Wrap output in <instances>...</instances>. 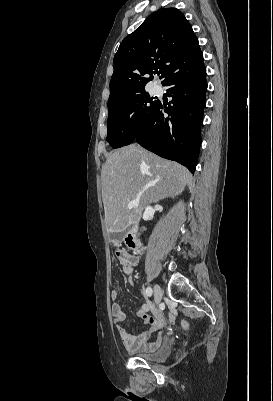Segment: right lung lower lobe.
I'll list each match as a JSON object with an SVG mask.
<instances>
[{
  "instance_id": "1",
  "label": "right lung lower lobe",
  "mask_w": 273,
  "mask_h": 401,
  "mask_svg": "<svg viewBox=\"0 0 273 401\" xmlns=\"http://www.w3.org/2000/svg\"><path fill=\"white\" fill-rule=\"evenodd\" d=\"M171 102L160 101L149 122L140 128L133 142L157 155L177 161L195 171L201 144L200 126L206 104V68L203 59L178 67L163 84ZM167 113L171 117H164Z\"/></svg>"
}]
</instances>
